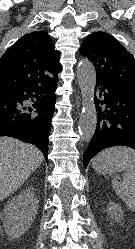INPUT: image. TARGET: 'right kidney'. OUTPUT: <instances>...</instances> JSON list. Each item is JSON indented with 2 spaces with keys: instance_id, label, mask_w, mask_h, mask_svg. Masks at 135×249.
I'll return each instance as SVG.
<instances>
[{
  "instance_id": "obj_1",
  "label": "right kidney",
  "mask_w": 135,
  "mask_h": 249,
  "mask_svg": "<svg viewBox=\"0 0 135 249\" xmlns=\"http://www.w3.org/2000/svg\"><path fill=\"white\" fill-rule=\"evenodd\" d=\"M38 209V201L31 189L14 197L5 207L4 229L10 239H17L31 226Z\"/></svg>"
}]
</instances>
